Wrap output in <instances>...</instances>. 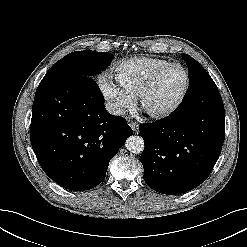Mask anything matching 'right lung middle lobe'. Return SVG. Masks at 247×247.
I'll return each mask as SVG.
<instances>
[{"label": "right lung middle lobe", "instance_id": "dd1d6c3e", "mask_svg": "<svg viewBox=\"0 0 247 247\" xmlns=\"http://www.w3.org/2000/svg\"><path fill=\"white\" fill-rule=\"evenodd\" d=\"M112 59L113 55L108 52L75 51L57 61L42 80L64 74L91 77L105 69Z\"/></svg>", "mask_w": 247, "mask_h": 247}]
</instances>
